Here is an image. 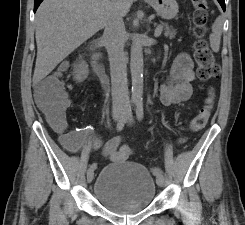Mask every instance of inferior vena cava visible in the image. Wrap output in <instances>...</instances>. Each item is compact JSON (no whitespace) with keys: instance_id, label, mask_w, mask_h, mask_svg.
Segmentation results:
<instances>
[{"instance_id":"obj_1","label":"inferior vena cava","mask_w":245,"mask_h":225,"mask_svg":"<svg viewBox=\"0 0 245 225\" xmlns=\"http://www.w3.org/2000/svg\"><path fill=\"white\" fill-rule=\"evenodd\" d=\"M103 41L109 55L113 110H118L128 106L129 97L124 54L125 27L116 4L107 15Z\"/></svg>"}]
</instances>
